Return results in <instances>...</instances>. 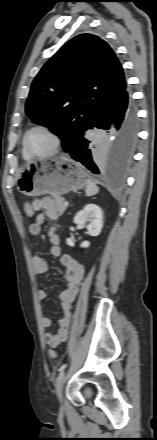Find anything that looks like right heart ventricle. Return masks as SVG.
<instances>
[{"mask_svg": "<svg viewBox=\"0 0 157 440\" xmlns=\"http://www.w3.org/2000/svg\"><path fill=\"white\" fill-rule=\"evenodd\" d=\"M22 153L24 158L29 159L30 156L24 151V149H22Z\"/></svg>", "mask_w": 157, "mask_h": 440, "instance_id": "obj_1", "label": "right heart ventricle"}]
</instances>
